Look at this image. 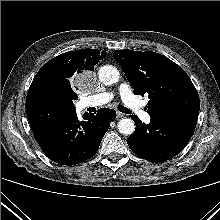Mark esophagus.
Segmentation results:
<instances>
[{"mask_svg":"<svg viewBox=\"0 0 220 220\" xmlns=\"http://www.w3.org/2000/svg\"><path fill=\"white\" fill-rule=\"evenodd\" d=\"M117 113V117H124L125 116V114H123L122 112H120V111H117L116 112Z\"/></svg>","mask_w":220,"mask_h":220,"instance_id":"obj_1","label":"esophagus"}]
</instances>
